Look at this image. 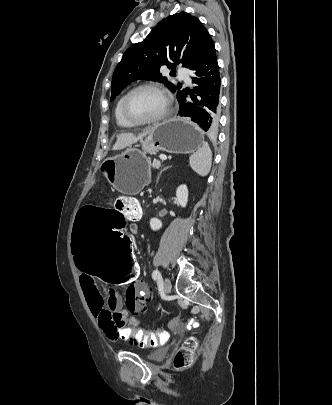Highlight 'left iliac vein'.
<instances>
[{
    "instance_id": "obj_1",
    "label": "left iliac vein",
    "mask_w": 332,
    "mask_h": 405,
    "mask_svg": "<svg viewBox=\"0 0 332 405\" xmlns=\"http://www.w3.org/2000/svg\"><path fill=\"white\" fill-rule=\"evenodd\" d=\"M163 288H164V291H165L166 293H170L171 288H172V284H171L170 279L167 278V277L164 278V281H163Z\"/></svg>"
}]
</instances>
